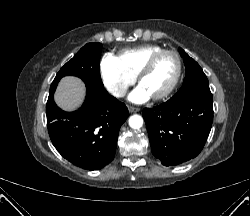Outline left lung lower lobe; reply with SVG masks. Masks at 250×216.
I'll use <instances>...</instances> for the list:
<instances>
[{"instance_id":"1","label":"left lung lower lobe","mask_w":250,"mask_h":216,"mask_svg":"<svg viewBox=\"0 0 250 216\" xmlns=\"http://www.w3.org/2000/svg\"><path fill=\"white\" fill-rule=\"evenodd\" d=\"M212 103V97L191 96L143 110L152 153L163 165L185 163L201 152L212 126Z\"/></svg>"}]
</instances>
